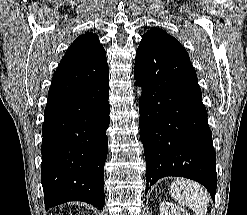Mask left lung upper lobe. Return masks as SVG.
<instances>
[{"mask_svg":"<svg viewBox=\"0 0 247 215\" xmlns=\"http://www.w3.org/2000/svg\"><path fill=\"white\" fill-rule=\"evenodd\" d=\"M142 40L155 42L162 46L170 47L187 54L184 47L174 37L159 28H152L147 31V33L142 36Z\"/></svg>","mask_w":247,"mask_h":215,"instance_id":"1","label":"left lung upper lobe"}]
</instances>
